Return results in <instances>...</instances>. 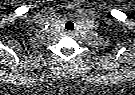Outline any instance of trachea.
I'll list each match as a JSON object with an SVG mask.
<instances>
[{
    "label": "trachea",
    "mask_w": 135,
    "mask_h": 95,
    "mask_svg": "<svg viewBox=\"0 0 135 95\" xmlns=\"http://www.w3.org/2000/svg\"><path fill=\"white\" fill-rule=\"evenodd\" d=\"M65 29L67 30H73L74 29V24L72 21H67L65 24Z\"/></svg>",
    "instance_id": "trachea-1"
}]
</instances>
